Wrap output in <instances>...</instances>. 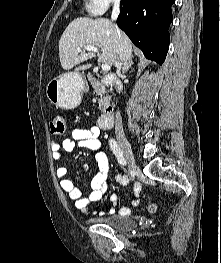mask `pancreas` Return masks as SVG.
I'll return each mask as SVG.
<instances>
[{
    "mask_svg": "<svg viewBox=\"0 0 221 263\" xmlns=\"http://www.w3.org/2000/svg\"><path fill=\"white\" fill-rule=\"evenodd\" d=\"M88 79L94 88L95 92L100 95L99 102V110L103 111L107 102L111 99V95H109L106 91V87L99 80L94 78L91 74L88 75Z\"/></svg>",
    "mask_w": 221,
    "mask_h": 263,
    "instance_id": "1",
    "label": "pancreas"
}]
</instances>
